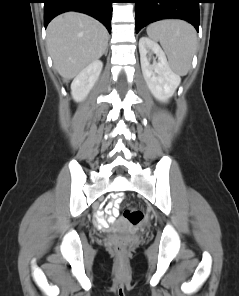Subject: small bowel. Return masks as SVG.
<instances>
[{"instance_id":"c3829d8e","label":"small bowel","mask_w":239,"mask_h":296,"mask_svg":"<svg viewBox=\"0 0 239 296\" xmlns=\"http://www.w3.org/2000/svg\"><path fill=\"white\" fill-rule=\"evenodd\" d=\"M118 202L119 199L117 198L114 202L107 204L105 207V212L98 215L103 224L113 222L115 217L118 216Z\"/></svg>"}]
</instances>
